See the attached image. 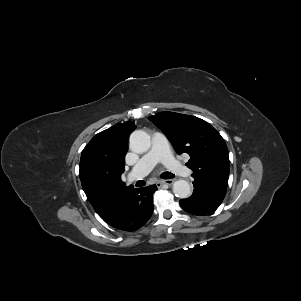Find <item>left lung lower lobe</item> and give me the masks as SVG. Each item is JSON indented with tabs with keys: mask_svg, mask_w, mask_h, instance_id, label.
Here are the masks:
<instances>
[{
	"mask_svg": "<svg viewBox=\"0 0 301 301\" xmlns=\"http://www.w3.org/2000/svg\"><path fill=\"white\" fill-rule=\"evenodd\" d=\"M193 178V194L187 199H181L180 206L194 215H209L220 206L227 188L198 177Z\"/></svg>",
	"mask_w": 301,
	"mask_h": 301,
	"instance_id": "left-lung-lower-lobe-1",
	"label": "left lung lower lobe"
}]
</instances>
